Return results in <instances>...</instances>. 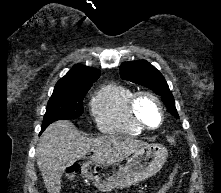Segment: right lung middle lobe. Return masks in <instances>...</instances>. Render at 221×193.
I'll return each instance as SVG.
<instances>
[{
	"label": "right lung middle lobe",
	"instance_id": "obj_1",
	"mask_svg": "<svg viewBox=\"0 0 221 193\" xmlns=\"http://www.w3.org/2000/svg\"><path fill=\"white\" fill-rule=\"evenodd\" d=\"M90 87L91 85L54 90L47 104L42 131L54 121L81 116L82 101Z\"/></svg>",
	"mask_w": 221,
	"mask_h": 193
}]
</instances>
